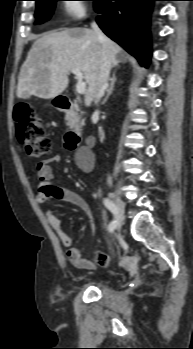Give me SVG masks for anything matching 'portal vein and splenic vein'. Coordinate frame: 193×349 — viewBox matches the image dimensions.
Wrapping results in <instances>:
<instances>
[{
    "label": "portal vein and splenic vein",
    "mask_w": 193,
    "mask_h": 349,
    "mask_svg": "<svg viewBox=\"0 0 193 349\" xmlns=\"http://www.w3.org/2000/svg\"><path fill=\"white\" fill-rule=\"evenodd\" d=\"M76 79H77V84H76V90L79 94H84L86 92V82L83 81V76L82 73L79 70H72L71 71Z\"/></svg>",
    "instance_id": "18ae733b"
}]
</instances>
